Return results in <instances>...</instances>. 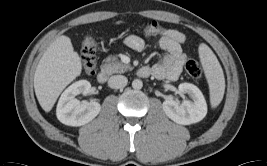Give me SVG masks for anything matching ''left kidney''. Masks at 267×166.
Here are the masks:
<instances>
[{
  "label": "left kidney",
  "mask_w": 267,
  "mask_h": 166,
  "mask_svg": "<svg viewBox=\"0 0 267 166\" xmlns=\"http://www.w3.org/2000/svg\"><path fill=\"white\" fill-rule=\"evenodd\" d=\"M181 94H188L191 100L179 103L173 98L166 99L163 104L165 114L174 122L189 125L201 121L207 114L206 100L199 88L190 83H181L178 86Z\"/></svg>",
  "instance_id": "5707ae66"
}]
</instances>
